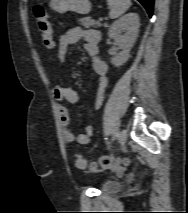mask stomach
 Here are the masks:
<instances>
[{"mask_svg": "<svg viewBox=\"0 0 188 213\" xmlns=\"http://www.w3.org/2000/svg\"><path fill=\"white\" fill-rule=\"evenodd\" d=\"M49 5L59 13L73 11L79 14H87L91 10L90 0H50Z\"/></svg>", "mask_w": 188, "mask_h": 213, "instance_id": "stomach-1", "label": "stomach"}]
</instances>
